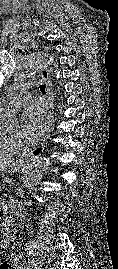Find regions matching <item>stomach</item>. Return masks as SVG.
I'll return each mask as SVG.
<instances>
[{
  "mask_svg": "<svg viewBox=\"0 0 118 269\" xmlns=\"http://www.w3.org/2000/svg\"><path fill=\"white\" fill-rule=\"evenodd\" d=\"M22 168H24V165L23 164H19L18 165V169H22Z\"/></svg>",
  "mask_w": 118,
  "mask_h": 269,
  "instance_id": "1",
  "label": "stomach"
}]
</instances>
